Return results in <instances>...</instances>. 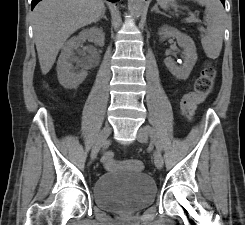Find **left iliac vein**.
<instances>
[{"label":"left iliac vein","instance_id":"obj_1","mask_svg":"<svg viewBox=\"0 0 245 225\" xmlns=\"http://www.w3.org/2000/svg\"><path fill=\"white\" fill-rule=\"evenodd\" d=\"M137 140L140 143H146L148 140V133L144 127H140L137 132ZM154 163L157 169H161L163 167V157L159 151L154 152Z\"/></svg>","mask_w":245,"mask_h":225}]
</instances>
